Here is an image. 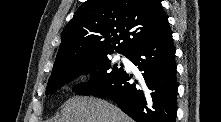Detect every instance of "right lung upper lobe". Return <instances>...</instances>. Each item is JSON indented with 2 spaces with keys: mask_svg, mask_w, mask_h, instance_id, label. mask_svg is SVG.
<instances>
[{
  "mask_svg": "<svg viewBox=\"0 0 221 122\" xmlns=\"http://www.w3.org/2000/svg\"><path fill=\"white\" fill-rule=\"evenodd\" d=\"M167 23L159 0H87L62 32L51 76L113 50L127 56Z\"/></svg>",
  "mask_w": 221,
  "mask_h": 122,
  "instance_id": "right-lung-upper-lobe-1",
  "label": "right lung upper lobe"
}]
</instances>
